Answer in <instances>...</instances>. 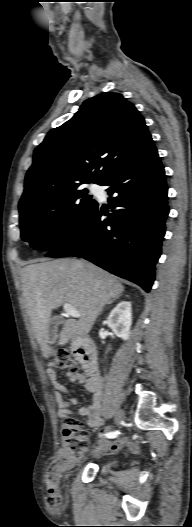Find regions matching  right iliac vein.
I'll return each mask as SVG.
<instances>
[{"instance_id": "1", "label": "right iliac vein", "mask_w": 192, "mask_h": 527, "mask_svg": "<svg viewBox=\"0 0 192 527\" xmlns=\"http://www.w3.org/2000/svg\"><path fill=\"white\" fill-rule=\"evenodd\" d=\"M124 419V412L122 410H119L116 415V421L117 424H120Z\"/></svg>"}]
</instances>
